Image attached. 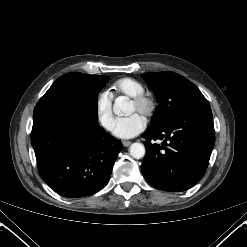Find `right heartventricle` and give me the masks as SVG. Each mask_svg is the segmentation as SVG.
Returning <instances> with one entry per match:
<instances>
[{
    "mask_svg": "<svg viewBox=\"0 0 247 247\" xmlns=\"http://www.w3.org/2000/svg\"><path fill=\"white\" fill-rule=\"evenodd\" d=\"M111 93L116 96H126L129 98L135 97L137 95L144 93V86L139 81L124 77L116 80L111 85Z\"/></svg>",
    "mask_w": 247,
    "mask_h": 247,
    "instance_id": "right-heart-ventricle-1",
    "label": "right heart ventricle"
}]
</instances>
